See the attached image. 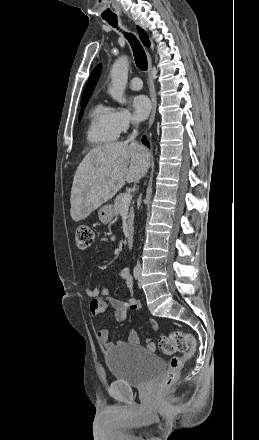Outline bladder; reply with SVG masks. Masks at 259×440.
Returning <instances> with one entry per match:
<instances>
[{
  "label": "bladder",
  "instance_id": "obj_1",
  "mask_svg": "<svg viewBox=\"0 0 259 440\" xmlns=\"http://www.w3.org/2000/svg\"><path fill=\"white\" fill-rule=\"evenodd\" d=\"M105 362L116 380L131 386H144L165 369L162 358L132 344L107 351Z\"/></svg>",
  "mask_w": 259,
  "mask_h": 440
}]
</instances>
